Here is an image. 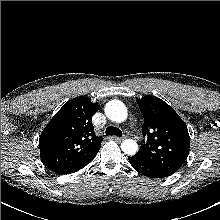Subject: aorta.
Returning <instances> with one entry per match:
<instances>
[{"mask_svg": "<svg viewBox=\"0 0 220 220\" xmlns=\"http://www.w3.org/2000/svg\"><path fill=\"white\" fill-rule=\"evenodd\" d=\"M106 116L114 122H123L127 119V108L119 100L109 101L105 106ZM122 151L127 155H135L138 151V144L132 139H126L121 143Z\"/></svg>", "mask_w": 220, "mask_h": 220, "instance_id": "762f6f07", "label": "aorta"}]
</instances>
